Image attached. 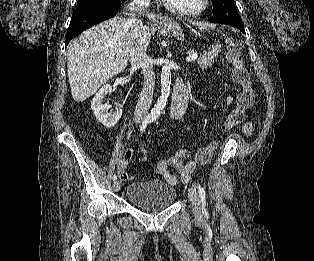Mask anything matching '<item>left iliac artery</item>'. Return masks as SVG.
Listing matches in <instances>:
<instances>
[{"label":"left iliac artery","instance_id":"1","mask_svg":"<svg viewBox=\"0 0 314 261\" xmlns=\"http://www.w3.org/2000/svg\"><path fill=\"white\" fill-rule=\"evenodd\" d=\"M197 190H198V193H199V196H200V199H201V203H202V213L204 215H207L208 212H207V209H206V196H205V191L203 190V188L199 185V184H196L195 185Z\"/></svg>","mask_w":314,"mask_h":261}]
</instances>
